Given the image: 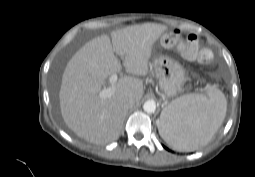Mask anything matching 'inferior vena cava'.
Listing matches in <instances>:
<instances>
[{
    "mask_svg": "<svg viewBox=\"0 0 255 177\" xmlns=\"http://www.w3.org/2000/svg\"><path fill=\"white\" fill-rule=\"evenodd\" d=\"M135 105V100L133 98H128L125 101V107L127 109L132 108Z\"/></svg>",
    "mask_w": 255,
    "mask_h": 177,
    "instance_id": "inferior-vena-cava-1",
    "label": "inferior vena cava"
}]
</instances>
